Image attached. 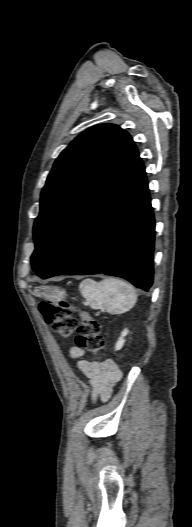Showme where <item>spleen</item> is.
<instances>
[{
	"label": "spleen",
	"instance_id": "obj_1",
	"mask_svg": "<svg viewBox=\"0 0 192 527\" xmlns=\"http://www.w3.org/2000/svg\"><path fill=\"white\" fill-rule=\"evenodd\" d=\"M87 303L95 309L120 314L129 311L136 303L134 287L120 279L105 278L100 282L85 279L79 285Z\"/></svg>",
	"mask_w": 192,
	"mask_h": 527
}]
</instances>
